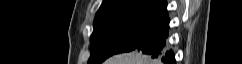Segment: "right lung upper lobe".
I'll use <instances>...</instances> for the list:
<instances>
[{
    "label": "right lung upper lobe",
    "mask_w": 242,
    "mask_h": 64,
    "mask_svg": "<svg viewBox=\"0 0 242 64\" xmlns=\"http://www.w3.org/2000/svg\"><path fill=\"white\" fill-rule=\"evenodd\" d=\"M137 11L167 14V2L166 0H103L95 20L111 14Z\"/></svg>",
    "instance_id": "1"
}]
</instances>
